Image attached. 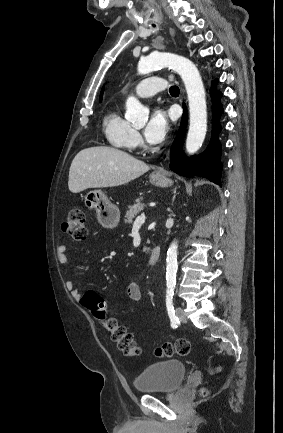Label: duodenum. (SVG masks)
I'll return each instance as SVG.
<instances>
[{
	"label": "duodenum",
	"mask_w": 283,
	"mask_h": 433,
	"mask_svg": "<svg viewBox=\"0 0 283 433\" xmlns=\"http://www.w3.org/2000/svg\"><path fill=\"white\" fill-rule=\"evenodd\" d=\"M160 257H161V249L159 246H156L150 253L149 260H148L149 264L152 266L156 265L159 262Z\"/></svg>",
	"instance_id": "duodenum-1"
}]
</instances>
